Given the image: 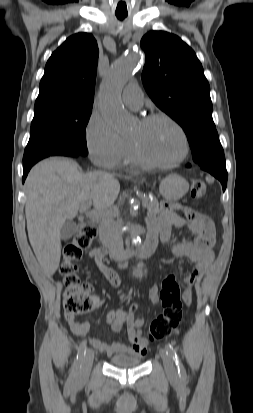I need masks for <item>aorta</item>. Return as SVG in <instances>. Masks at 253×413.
I'll return each instance as SVG.
<instances>
[{
    "label": "aorta",
    "instance_id": "762f6f07",
    "mask_svg": "<svg viewBox=\"0 0 253 413\" xmlns=\"http://www.w3.org/2000/svg\"><path fill=\"white\" fill-rule=\"evenodd\" d=\"M138 51H131L126 57L115 60L105 75L99 89V109L101 114L119 132L131 129L133 121L121 101V93L131 78L139 61ZM129 236L136 247L141 246L140 231L128 224Z\"/></svg>",
    "mask_w": 253,
    "mask_h": 413
}]
</instances>
